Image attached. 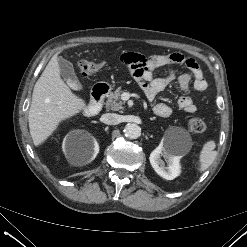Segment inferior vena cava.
Segmentation results:
<instances>
[{
    "label": "inferior vena cava",
    "instance_id": "602c4592",
    "mask_svg": "<svg viewBox=\"0 0 247 247\" xmlns=\"http://www.w3.org/2000/svg\"><path fill=\"white\" fill-rule=\"evenodd\" d=\"M101 121L108 125H116L120 122V116L115 113H106L101 116Z\"/></svg>",
    "mask_w": 247,
    "mask_h": 247
}]
</instances>
